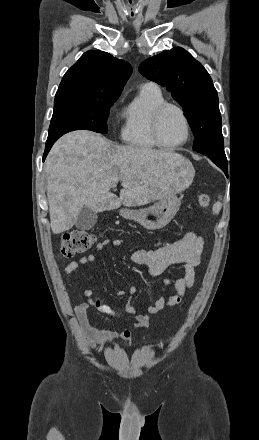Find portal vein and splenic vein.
<instances>
[{
  "label": "portal vein and splenic vein",
  "mask_w": 259,
  "mask_h": 440,
  "mask_svg": "<svg viewBox=\"0 0 259 440\" xmlns=\"http://www.w3.org/2000/svg\"><path fill=\"white\" fill-rule=\"evenodd\" d=\"M121 185H122L123 187H127V186H128L126 183H121Z\"/></svg>",
  "instance_id": "18ae733b"
}]
</instances>
